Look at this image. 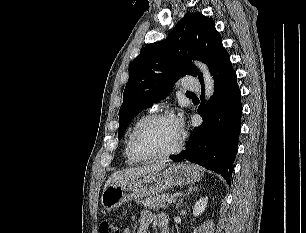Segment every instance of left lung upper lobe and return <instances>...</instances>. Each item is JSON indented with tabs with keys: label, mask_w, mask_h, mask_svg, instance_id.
<instances>
[{
	"label": "left lung upper lobe",
	"mask_w": 306,
	"mask_h": 233,
	"mask_svg": "<svg viewBox=\"0 0 306 233\" xmlns=\"http://www.w3.org/2000/svg\"><path fill=\"white\" fill-rule=\"evenodd\" d=\"M227 51L212 19L187 13L167 39L145 46L129 66V80L119 110L118 137L144 108L167 97L182 76L202 74L190 60H202L210 71Z\"/></svg>",
	"instance_id": "1"
}]
</instances>
